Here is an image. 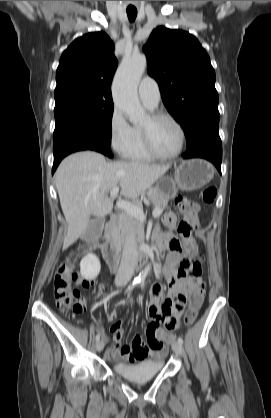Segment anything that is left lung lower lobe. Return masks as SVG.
I'll list each match as a JSON object with an SVG mask.
<instances>
[{"instance_id":"0a47b994","label":"left lung lower lobe","mask_w":271,"mask_h":418,"mask_svg":"<svg viewBox=\"0 0 271 418\" xmlns=\"http://www.w3.org/2000/svg\"><path fill=\"white\" fill-rule=\"evenodd\" d=\"M204 158L212 162L221 173L222 162V143L219 134L207 135L198 138L187 152L183 155L184 159Z\"/></svg>"}]
</instances>
